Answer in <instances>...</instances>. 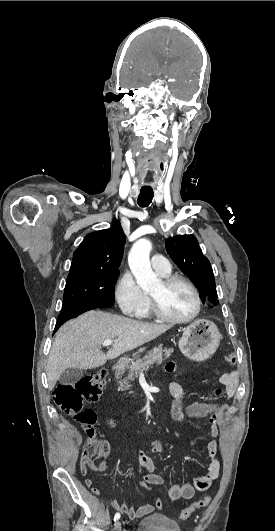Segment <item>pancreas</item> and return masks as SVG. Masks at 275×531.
Returning a JSON list of instances; mask_svg holds the SVG:
<instances>
[{"instance_id":"cf45deb5","label":"pancreas","mask_w":275,"mask_h":531,"mask_svg":"<svg viewBox=\"0 0 275 531\" xmlns=\"http://www.w3.org/2000/svg\"><path fill=\"white\" fill-rule=\"evenodd\" d=\"M172 353H174V349H166L163 345H158V347H154L153 351H149L147 355H144L143 359H137V361L131 363V365H126L123 359H120L116 365L117 371H115V379H120V387H122V391H128V383L134 381L135 377H138L139 371H149L154 363L161 365L162 361L169 359ZM126 369H128V375L127 377H124ZM130 393H133V391H130Z\"/></svg>"}]
</instances>
